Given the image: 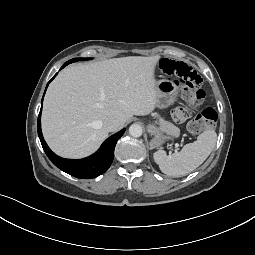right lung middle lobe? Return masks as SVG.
<instances>
[{
    "mask_svg": "<svg viewBox=\"0 0 255 255\" xmlns=\"http://www.w3.org/2000/svg\"><path fill=\"white\" fill-rule=\"evenodd\" d=\"M88 58H74V59H71L73 62H76V61H79V60H86Z\"/></svg>",
    "mask_w": 255,
    "mask_h": 255,
    "instance_id": "dd1d6c3e",
    "label": "right lung middle lobe"
}]
</instances>
